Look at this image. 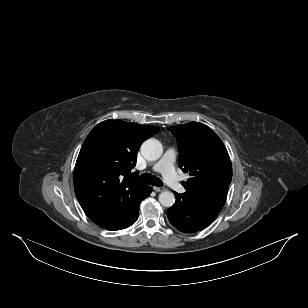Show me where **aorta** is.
Wrapping results in <instances>:
<instances>
[{"instance_id": "obj_1", "label": "aorta", "mask_w": 308, "mask_h": 308, "mask_svg": "<svg viewBox=\"0 0 308 308\" xmlns=\"http://www.w3.org/2000/svg\"><path fill=\"white\" fill-rule=\"evenodd\" d=\"M143 157L149 161L159 159L163 153L162 144L156 139H148L141 146ZM159 202L164 207H171L175 203V196L170 191L159 194Z\"/></svg>"}]
</instances>
